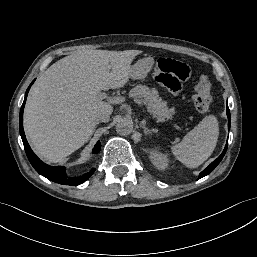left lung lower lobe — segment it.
<instances>
[{"mask_svg": "<svg viewBox=\"0 0 257 257\" xmlns=\"http://www.w3.org/2000/svg\"><path fill=\"white\" fill-rule=\"evenodd\" d=\"M227 116H228V128L230 129V111L228 108V104H227ZM227 146H228V141L222 154L215 161H213L204 171L200 173L198 179L208 175L211 171H213L216 168V166L221 162L222 158L224 157L227 150Z\"/></svg>", "mask_w": 257, "mask_h": 257, "instance_id": "left-lung-lower-lobe-1", "label": "left lung lower lobe"}]
</instances>
